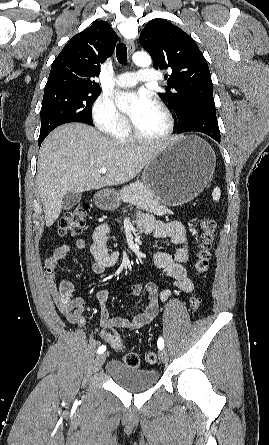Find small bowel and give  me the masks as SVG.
<instances>
[{
	"label": "small bowel",
	"instance_id": "small-bowel-1",
	"mask_svg": "<svg viewBox=\"0 0 269 445\" xmlns=\"http://www.w3.org/2000/svg\"><path fill=\"white\" fill-rule=\"evenodd\" d=\"M137 224L144 234H153L156 238H170L177 246L174 254L166 252H157L154 255L155 265L165 271V273L174 281L175 286L184 293L193 291V283L189 271L185 267L188 259V244L186 233L180 222H162L145 214L137 216ZM110 227L107 224L98 226L93 233V240L89 251L94 259L92 265L93 272L97 275L103 274L107 269L116 265L119 259V253L109 251L107 247L108 234ZM78 250L87 249L85 240L78 239L75 242ZM70 251L69 245H61L46 259V268L53 269L65 258ZM132 294L138 298L143 290L147 294V307L144 312L136 314L132 319L113 318L109 315L108 300L109 291L101 289L96 291L95 299L100 304L99 324L102 327V337L106 340V331L114 328L127 330L139 329L150 323L157 315L159 304L165 302L171 295L169 289L159 291L154 282H148L145 286L140 283L131 285ZM48 289L52 298L65 319L74 325L83 327L86 324V318L83 314L85 302L82 298H71L70 292H65L62 287L57 288L52 282H48ZM107 341V340H106Z\"/></svg>",
	"mask_w": 269,
	"mask_h": 445
}]
</instances>
